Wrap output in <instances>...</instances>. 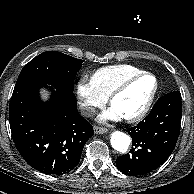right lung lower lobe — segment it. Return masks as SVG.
<instances>
[{
  "label": "right lung lower lobe",
  "instance_id": "1",
  "mask_svg": "<svg viewBox=\"0 0 194 194\" xmlns=\"http://www.w3.org/2000/svg\"><path fill=\"white\" fill-rule=\"evenodd\" d=\"M47 84L16 85L9 122L15 146L25 161L40 172L62 175L75 168L93 127L79 115L73 91L56 89L42 102L38 90Z\"/></svg>",
  "mask_w": 194,
  "mask_h": 194
}]
</instances>
